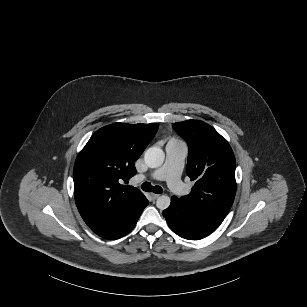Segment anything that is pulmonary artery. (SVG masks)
Listing matches in <instances>:
<instances>
[{
    "instance_id": "1",
    "label": "pulmonary artery",
    "mask_w": 307,
    "mask_h": 307,
    "mask_svg": "<svg viewBox=\"0 0 307 307\" xmlns=\"http://www.w3.org/2000/svg\"><path fill=\"white\" fill-rule=\"evenodd\" d=\"M182 152L180 144L173 142L166 147V160L164 165L158 169L143 175H137V181L151 180L155 182H166L168 190L182 194L186 192L188 185L180 178L182 172Z\"/></svg>"
}]
</instances>
